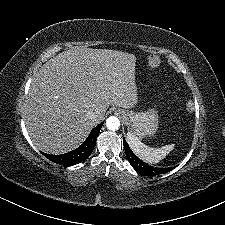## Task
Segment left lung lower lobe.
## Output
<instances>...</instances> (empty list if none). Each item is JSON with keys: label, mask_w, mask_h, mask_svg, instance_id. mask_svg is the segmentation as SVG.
Here are the masks:
<instances>
[{"label": "left lung lower lobe", "mask_w": 225, "mask_h": 225, "mask_svg": "<svg viewBox=\"0 0 225 225\" xmlns=\"http://www.w3.org/2000/svg\"><path fill=\"white\" fill-rule=\"evenodd\" d=\"M123 141H124L123 143H124V149H125L127 159L129 163L131 164V166L140 175L154 176V175L167 173L173 169V168H157V167L149 166L148 164L141 161L137 156H135V154L129 148L125 139H123Z\"/></svg>", "instance_id": "obj_1"}]
</instances>
